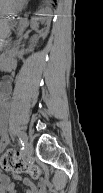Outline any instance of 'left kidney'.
I'll list each match as a JSON object with an SVG mask.
<instances>
[{"mask_svg": "<svg viewBox=\"0 0 103 193\" xmlns=\"http://www.w3.org/2000/svg\"><path fill=\"white\" fill-rule=\"evenodd\" d=\"M36 16H40V17H33L31 20V28L34 30H37V22L38 21H42V22H47V27L45 29V31L42 33L43 38H46V36L49 33V26H50V20H51V9L49 7L46 8H42L40 10H38L35 13Z\"/></svg>", "mask_w": 103, "mask_h": 193, "instance_id": "5707ae66", "label": "left kidney"}]
</instances>
